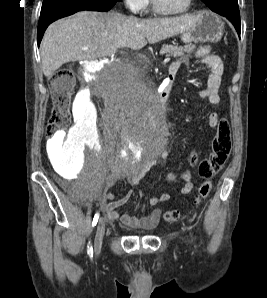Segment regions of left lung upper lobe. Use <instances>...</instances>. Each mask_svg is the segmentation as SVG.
<instances>
[{
	"instance_id": "obj_1",
	"label": "left lung upper lobe",
	"mask_w": 267,
	"mask_h": 298,
	"mask_svg": "<svg viewBox=\"0 0 267 298\" xmlns=\"http://www.w3.org/2000/svg\"><path fill=\"white\" fill-rule=\"evenodd\" d=\"M212 11H226L231 7H238L237 0H202Z\"/></svg>"
}]
</instances>
